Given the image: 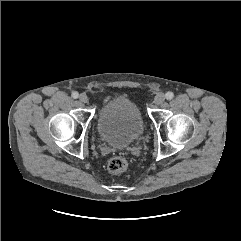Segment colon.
<instances>
[{"label": "colon", "instance_id": "5ec220e1", "mask_svg": "<svg viewBox=\"0 0 241 241\" xmlns=\"http://www.w3.org/2000/svg\"><path fill=\"white\" fill-rule=\"evenodd\" d=\"M128 162L123 156H114L108 162V171L112 174H119L127 169Z\"/></svg>", "mask_w": 241, "mask_h": 241}]
</instances>
